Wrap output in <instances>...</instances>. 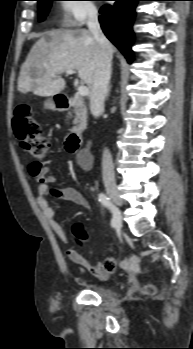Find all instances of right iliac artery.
Returning a JSON list of instances; mask_svg holds the SVG:
<instances>
[{"label":"right iliac artery","mask_w":193,"mask_h":349,"mask_svg":"<svg viewBox=\"0 0 193 349\" xmlns=\"http://www.w3.org/2000/svg\"><path fill=\"white\" fill-rule=\"evenodd\" d=\"M98 200L99 202L104 206L106 207L107 209H109L113 215V217L111 218L112 219V226H115V217L114 215L116 214L115 213V210H116V207L112 204V202L110 201V198L107 197L105 194L103 193H100L99 196H98Z\"/></svg>","instance_id":"1"}]
</instances>
